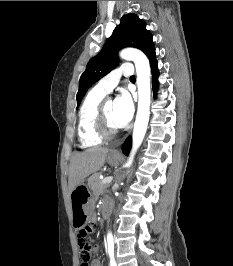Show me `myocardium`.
Masks as SVG:
<instances>
[{
  "label": "myocardium",
  "mask_w": 233,
  "mask_h": 266,
  "mask_svg": "<svg viewBox=\"0 0 233 266\" xmlns=\"http://www.w3.org/2000/svg\"><path fill=\"white\" fill-rule=\"evenodd\" d=\"M109 101H112V99L109 97H104L99 103L95 113V131L97 135L103 140L111 139L118 133V128H111L106 120L105 107Z\"/></svg>",
  "instance_id": "f54148a6"
}]
</instances>
